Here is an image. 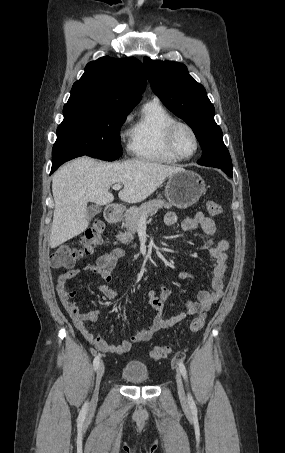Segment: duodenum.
<instances>
[{
    "mask_svg": "<svg viewBox=\"0 0 285 453\" xmlns=\"http://www.w3.org/2000/svg\"><path fill=\"white\" fill-rule=\"evenodd\" d=\"M121 211L116 206H109L105 212V218L109 223H116L119 220Z\"/></svg>",
    "mask_w": 285,
    "mask_h": 453,
    "instance_id": "obj_1",
    "label": "duodenum"
}]
</instances>
